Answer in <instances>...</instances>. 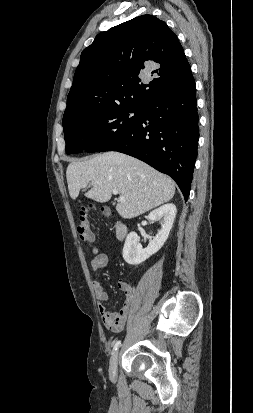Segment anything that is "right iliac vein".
Wrapping results in <instances>:
<instances>
[{"instance_id":"63e3f726","label":"right iliac vein","mask_w":253,"mask_h":413,"mask_svg":"<svg viewBox=\"0 0 253 413\" xmlns=\"http://www.w3.org/2000/svg\"><path fill=\"white\" fill-rule=\"evenodd\" d=\"M118 356H119V350L115 351L110 358L109 376L111 379H115L117 375Z\"/></svg>"}]
</instances>
